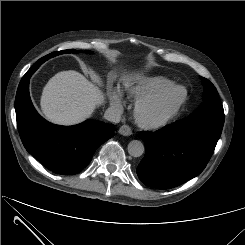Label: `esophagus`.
<instances>
[{
  "label": "esophagus",
  "mask_w": 245,
  "mask_h": 245,
  "mask_svg": "<svg viewBox=\"0 0 245 245\" xmlns=\"http://www.w3.org/2000/svg\"><path fill=\"white\" fill-rule=\"evenodd\" d=\"M118 132L124 136H130L132 134V130L128 125H122L119 128Z\"/></svg>",
  "instance_id": "1"
}]
</instances>
